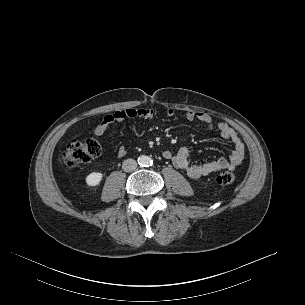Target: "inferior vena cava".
<instances>
[{
	"mask_svg": "<svg viewBox=\"0 0 305 305\" xmlns=\"http://www.w3.org/2000/svg\"><path fill=\"white\" fill-rule=\"evenodd\" d=\"M137 167V162L134 159H126L122 164V168L125 172L134 171Z\"/></svg>",
	"mask_w": 305,
	"mask_h": 305,
	"instance_id": "obj_1",
	"label": "inferior vena cava"
}]
</instances>
